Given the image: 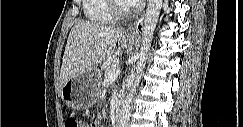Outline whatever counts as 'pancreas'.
<instances>
[{
  "label": "pancreas",
  "mask_w": 243,
  "mask_h": 127,
  "mask_svg": "<svg viewBox=\"0 0 243 127\" xmlns=\"http://www.w3.org/2000/svg\"><path fill=\"white\" fill-rule=\"evenodd\" d=\"M117 65H118V61L117 60H112L111 62H109L103 69L104 73V77L106 78L110 71L117 69Z\"/></svg>",
  "instance_id": "cf45deb5"
}]
</instances>
